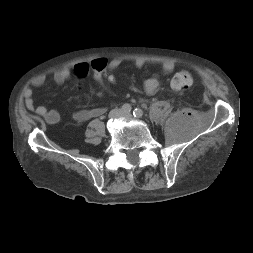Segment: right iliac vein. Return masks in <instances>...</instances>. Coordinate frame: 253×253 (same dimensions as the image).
<instances>
[{
  "label": "right iliac vein",
  "instance_id": "1",
  "mask_svg": "<svg viewBox=\"0 0 253 253\" xmlns=\"http://www.w3.org/2000/svg\"><path fill=\"white\" fill-rule=\"evenodd\" d=\"M123 116V112L120 109H115L111 111L110 118H119Z\"/></svg>",
  "mask_w": 253,
  "mask_h": 253
}]
</instances>
